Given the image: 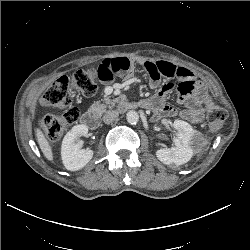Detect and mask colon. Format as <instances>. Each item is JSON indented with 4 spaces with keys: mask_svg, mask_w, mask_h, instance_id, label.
<instances>
[{
    "mask_svg": "<svg viewBox=\"0 0 250 250\" xmlns=\"http://www.w3.org/2000/svg\"><path fill=\"white\" fill-rule=\"evenodd\" d=\"M97 78V69H79L70 77L57 78L43 93L41 104L61 111L60 114H46L40 120L41 127L51 140L59 139L67 127L78 120L79 110L72 105L73 95L79 92L84 96H93L98 88ZM206 111L210 131L219 130L226 119L225 110L206 98Z\"/></svg>",
    "mask_w": 250,
    "mask_h": 250,
    "instance_id": "5ec220e1",
    "label": "colon"
}]
</instances>
